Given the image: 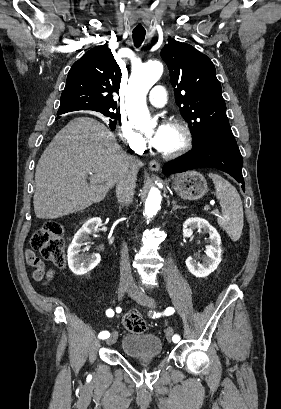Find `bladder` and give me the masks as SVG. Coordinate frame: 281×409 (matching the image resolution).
Returning a JSON list of instances; mask_svg holds the SVG:
<instances>
[{
	"label": "bladder",
	"mask_w": 281,
	"mask_h": 409,
	"mask_svg": "<svg viewBox=\"0 0 281 409\" xmlns=\"http://www.w3.org/2000/svg\"><path fill=\"white\" fill-rule=\"evenodd\" d=\"M119 348L132 359H138L139 355H162L163 357L165 352L162 338L153 333L128 332L120 338Z\"/></svg>",
	"instance_id": "31cf9c89"
}]
</instances>
